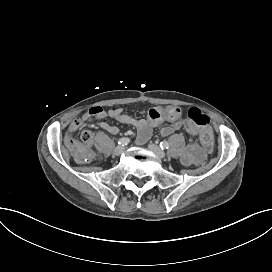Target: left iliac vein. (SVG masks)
<instances>
[{
  "label": "left iliac vein",
  "instance_id": "4c4485c4",
  "mask_svg": "<svg viewBox=\"0 0 272 272\" xmlns=\"http://www.w3.org/2000/svg\"><path fill=\"white\" fill-rule=\"evenodd\" d=\"M148 148L156 155L158 156L159 158L163 159L165 158L166 154L165 152L159 148L157 145H155L154 143H150L148 145Z\"/></svg>",
  "mask_w": 272,
  "mask_h": 272
}]
</instances>
